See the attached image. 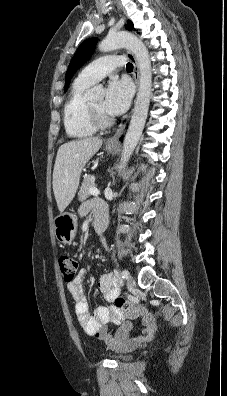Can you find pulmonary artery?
Instances as JSON below:
<instances>
[{"label":"pulmonary artery","instance_id":"e3ab8cb5","mask_svg":"<svg viewBox=\"0 0 227 396\" xmlns=\"http://www.w3.org/2000/svg\"><path fill=\"white\" fill-rule=\"evenodd\" d=\"M125 64L123 56H104L88 64L79 74L78 78L94 84L118 67Z\"/></svg>","mask_w":227,"mask_h":396}]
</instances>
